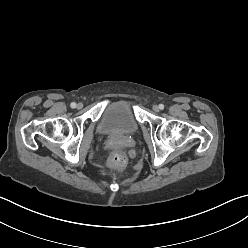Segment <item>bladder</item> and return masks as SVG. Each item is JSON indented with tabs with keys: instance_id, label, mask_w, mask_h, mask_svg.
Returning <instances> with one entry per match:
<instances>
[{
	"instance_id": "1",
	"label": "bladder",
	"mask_w": 248,
	"mask_h": 248,
	"mask_svg": "<svg viewBox=\"0 0 248 248\" xmlns=\"http://www.w3.org/2000/svg\"><path fill=\"white\" fill-rule=\"evenodd\" d=\"M140 128L133 104L127 100H115L105 104L97 122L96 131L102 136H129Z\"/></svg>"
}]
</instances>
